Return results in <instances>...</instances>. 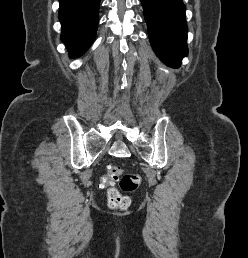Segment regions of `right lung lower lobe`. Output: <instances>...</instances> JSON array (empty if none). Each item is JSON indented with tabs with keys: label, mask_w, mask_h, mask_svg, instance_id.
Returning a JSON list of instances; mask_svg holds the SVG:
<instances>
[{
	"label": "right lung lower lobe",
	"mask_w": 248,
	"mask_h": 258,
	"mask_svg": "<svg viewBox=\"0 0 248 258\" xmlns=\"http://www.w3.org/2000/svg\"><path fill=\"white\" fill-rule=\"evenodd\" d=\"M61 39L70 56L83 54L92 44L98 25L100 0H59Z\"/></svg>",
	"instance_id": "right-lung-lower-lobe-1"
}]
</instances>
